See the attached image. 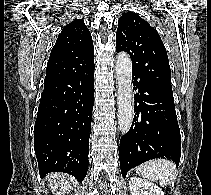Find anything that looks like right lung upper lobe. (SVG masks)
<instances>
[{
	"mask_svg": "<svg viewBox=\"0 0 211 195\" xmlns=\"http://www.w3.org/2000/svg\"><path fill=\"white\" fill-rule=\"evenodd\" d=\"M94 65L91 34L81 19L66 25L58 35L47 63L44 83L83 72Z\"/></svg>",
	"mask_w": 211,
	"mask_h": 195,
	"instance_id": "right-lung-upper-lobe-1",
	"label": "right lung upper lobe"
}]
</instances>
